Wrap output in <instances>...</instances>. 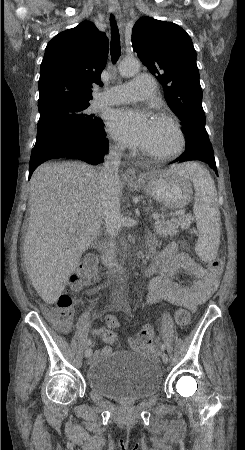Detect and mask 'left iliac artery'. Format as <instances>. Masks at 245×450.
I'll use <instances>...</instances> for the list:
<instances>
[{"instance_id": "obj_1", "label": "left iliac artery", "mask_w": 245, "mask_h": 450, "mask_svg": "<svg viewBox=\"0 0 245 450\" xmlns=\"http://www.w3.org/2000/svg\"><path fill=\"white\" fill-rule=\"evenodd\" d=\"M161 349L164 351L165 350V345L163 343H161Z\"/></svg>"}]
</instances>
